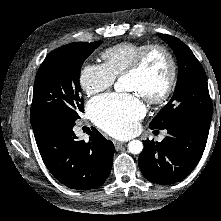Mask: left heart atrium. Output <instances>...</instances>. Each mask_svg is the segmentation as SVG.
Returning <instances> with one entry per match:
<instances>
[{
	"label": "left heart atrium",
	"instance_id": "39dd6f15",
	"mask_svg": "<svg viewBox=\"0 0 221 221\" xmlns=\"http://www.w3.org/2000/svg\"><path fill=\"white\" fill-rule=\"evenodd\" d=\"M146 107L136 92L109 94L93 99L88 113L103 130L118 139H126L139 128L138 120Z\"/></svg>",
	"mask_w": 221,
	"mask_h": 221
}]
</instances>
